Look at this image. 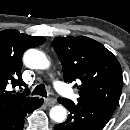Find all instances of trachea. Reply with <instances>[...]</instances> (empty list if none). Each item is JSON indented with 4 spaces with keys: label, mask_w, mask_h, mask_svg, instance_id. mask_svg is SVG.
Instances as JSON below:
<instances>
[{
    "label": "trachea",
    "mask_w": 130,
    "mask_h": 130,
    "mask_svg": "<svg viewBox=\"0 0 130 130\" xmlns=\"http://www.w3.org/2000/svg\"><path fill=\"white\" fill-rule=\"evenodd\" d=\"M32 95H40L43 97H47V91L45 89V85L40 84V85L36 86L32 92Z\"/></svg>",
    "instance_id": "3493384b"
}]
</instances>
